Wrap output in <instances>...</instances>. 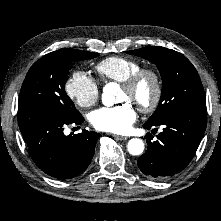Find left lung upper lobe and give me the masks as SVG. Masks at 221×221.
I'll return each instance as SVG.
<instances>
[{
	"label": "left lung upper lobe",
	"instance_id": "5c2ea615",
	"mask_svg": "<svg viewBox=\"0 0 221 221\" xmlns=\"http://www.w3.org/2000/svg\"><path fill=\"white\" fill-rule=\"evenodd\" d=\"M127 53L156 64L163 80L159 105L146 124H157L187 108L206 106L198 72L182 54L160 46L144 47Z\"/></svg>",
	"mask_w": 221,
	"mask_h": 221
}]
</instances>
